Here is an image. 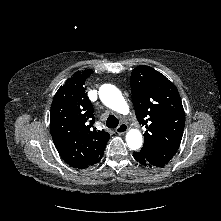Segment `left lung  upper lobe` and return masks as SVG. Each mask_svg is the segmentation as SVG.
I'll use <instances>...</instances> for the list:
<instances>
[{"instance_id": "5c2ea615", "label": "left lung upper lobe", "mask_w": 221, "mask_h": 221, "mask_svg": "<svg viewBox=\"0 0 221 221\" xmlns=\"http://www.w3.org/2000/svg\"><path fill=\"white\" fill-rule=\"evenodd\" d=\"M131 93L138 122L146 127L139 152L156 167L167 164L179 148L185 112L175 85L149 66L131 73Z\"/></svg>"}]
</instances>
